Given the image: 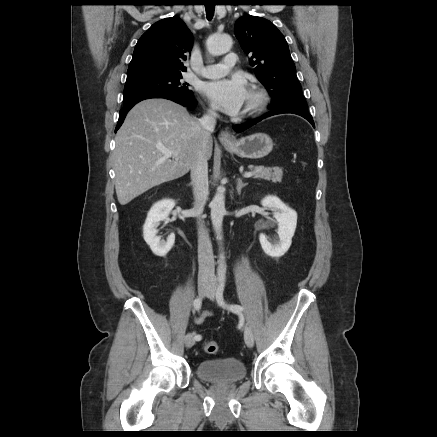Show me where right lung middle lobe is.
Returning <instances> with one entry per match:
<instances>
[{
    "label": "right lung middle lobe",
    "instance_id": "dd1d6c3e",
    "mask_svg": "<svg viewBox=\"0 0 437 437\" xmlns=\"http://www.w3.org/2000/svg\"><path fill=\"white\" fill-rule=\"evenodd\" d=\"M181 78V73H127L123 105L159 94L192 96L189 84L183 83Z\"/></svg>",
    "mask_w": 437,
    "mask_h": 437
}]
</instances>
